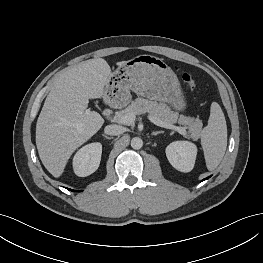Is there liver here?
<instances>
[{"label":"liver","mask_w":263,"mask_h":263,"mask_svg":"<svg viewBox=\"0 0 263 263\" xmlns=\"http://www.w3.org/2000/svg\"><path fill=\"white\" fill-rule=\"evenodd\" d=\"M126 61L117 62L120 67ZM110 66L103 58L83 61L58 76L36 124V146L45 168L60 177L72 153L104 124L88 109L89 99L106 94Z\"/></svg>","instance_id":"obj_1"}]
</instances>
